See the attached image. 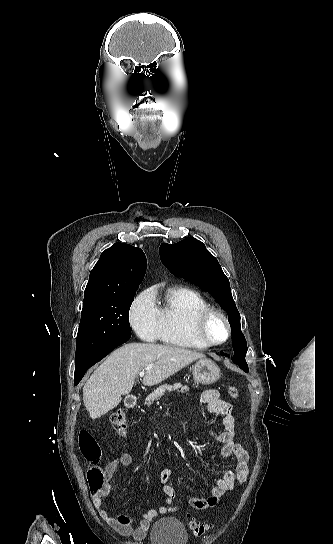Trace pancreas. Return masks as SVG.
Returning <instances> with one entry per match:
<instances>
[{
	"mask_svg": "<svg viewBox=\"0 0 333 544\" xmlns=\"http://www.w3.org/2000/svg\"><path fill=\"white\" fill-rule=\"evenodd\" d=\"M180 389V392H186L189 391L188 386H183L181 383H174L173 385H161L159 388L154 390L149 396H147L145 400V404L150 406L154 401H158L166 391L172 392V391H178Z\"/></svg>",
	"mask_w": 333,
	"mask_h": 544,
	"instance_id": "cf45deb5",
	"label": "pancreas"
}]
</instances>
